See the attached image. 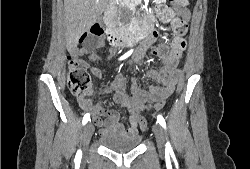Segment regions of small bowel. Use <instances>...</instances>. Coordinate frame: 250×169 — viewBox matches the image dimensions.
<instances>
[{
  "label": "small bowel",
  "mask_w": 250,
  "mask_h": 169,
  "mask_svg": "<svg viewBox=\"0 0 250 169\" xmlns=\"http://www.w3.org/2000/svg\"><path fill=\"white\" fill-rule=\"evenodd\" d=\"M175 16L174 23L176 21L187 22L190 13L186 5L176 8ZM167 17H169V14H167ZM147 45L148 43L143 44L140 50L136 52L130 66L141 65ZM185 46L184 39L175 37L172 39L170 46L159 45L151 52V55L158 58L161 62L159 67L147 72V78L154 80L156 84L142 88L137 83L136 78H133L131 84L132 95H128L124 76L117 74L100 91L101 94H111L113 102L125 109L128 112V116H124L116 110L107 109L102 102L93 103L85 97L77 98L80 107L84 111L91 113L93 121L102 126L104 133L134 134L139 120H135V115H130V110L132 109L130 106L131 103H145V98H148V95H156V91H169V95L173 93L181 75L180 64ZM96 48L97 46L92 49L76 47L72 53L83 68H88V62L81 59V57L88 56L90 60L97 61L98 55L93 56L97 54ZM91 72L95 77H101V71L98 68H91ZM103 117L104 120L102 119Z\"/></svg>",
  "instance_id": "1"
}]
</instances>
